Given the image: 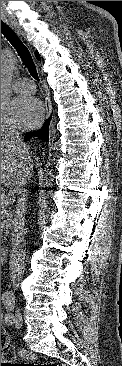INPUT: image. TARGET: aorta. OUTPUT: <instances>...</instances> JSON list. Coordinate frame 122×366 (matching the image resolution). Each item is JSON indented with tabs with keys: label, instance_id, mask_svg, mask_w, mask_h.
I'll list each match as a JSON object with an SVG mask.
<instances>
[{
	"label": "aorta",
	"instance_id": "762f6f07",
	"mask_svg": "<svg viewBox=\"0 0 122 366\" xmlns=\"http://www.w3.org/2000/svg\"><path fill=\"white\" fill-rule=\"evenodd\" d=\"M16 64L17 58L11 51L1 50V107H4L10 100Z\"/></svg>",
	"mask_w": 122,
	"mask_h": 366
}]
</instances>
